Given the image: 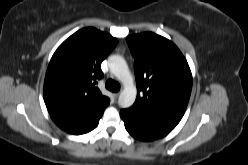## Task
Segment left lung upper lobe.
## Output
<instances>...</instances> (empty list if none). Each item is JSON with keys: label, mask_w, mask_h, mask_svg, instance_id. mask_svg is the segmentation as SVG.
Wrapping results in <instances>:
<instances>
[{"label": "left lung upper lobe", "mask_w": 248, "mask_h": 165, "mask_svg": "<svg viewBox=\"0 0 248 165\" xmlns=\"http://www.w3.org/2000/svg\"><path fill=\"white\" fill-rule=\"evenodd\" d=\"M135 59L137 98L126 112L174 129L192 89L189 65L177 46L152 32L127 37Z\"/></svg>", "instance_id": "1"}]
</instances>
